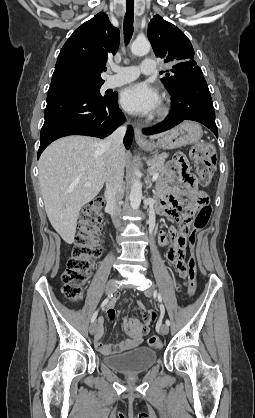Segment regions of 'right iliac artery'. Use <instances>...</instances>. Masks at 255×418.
Wrapping results in <instances>:
<instances>
[{
    "label": "right iliac artery",
    "instance_id": "82829eb1",
    "mask_svg": "<svg viewBox=\"0 0 255 418\" xmlns=\"http://www.w3.org/2000/svg\"><path fill=\"white\" fill-rule=\"evenodd\" d=\"M111 297H112V294L108 295V297L102 302L101 307H104L108 303ZM97 314H98V311L94 312V314L91 317V323H93L96 320Z\"/></svg>",
    "mask_w": 255,
    "mask_h": 418
}]
</instances>
